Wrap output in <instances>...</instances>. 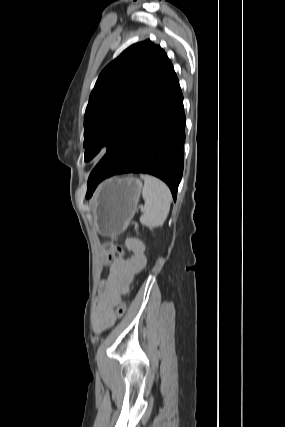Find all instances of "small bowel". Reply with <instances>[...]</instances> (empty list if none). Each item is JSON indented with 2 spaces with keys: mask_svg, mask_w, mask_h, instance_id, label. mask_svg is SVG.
Wrapping results in <instances>:
<instances>
[{
  "mask_svg": "<svg viewBox=\"0 0 285 427\" xmlns=\"http://www.w3.org/2000/svg\"><path fill=\"white\" fill-rule=\"evenodd\" d=\"M126 244L132 252L131 257L115 259L110 265L107 278L98 285L93 309V326L96 333H101L114 324V307L128 291L134 274L146 265L143 242L131 238Z\"/></svg>",
  "mask_w": 285,
  "mask_h": 427,
  "instance_id": "obj_1",
  "label": "small bowel"
}]
</instances>
